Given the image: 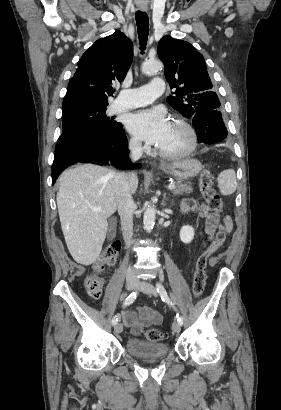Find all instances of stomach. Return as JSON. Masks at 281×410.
<instances>
[{
	"label": "stomach",
	"mask_w": 281,
	"mask_h": 410,
	"mask_svg": "<svg viewBox=\"0 0 281 410\" xmlns=\"http://www.w3.org/2000/svg\"><path fill=\"white\" fill-rule=\"evenodd\" d=\"M161 169L178 179L189 180L201 171L202 165L196 159L187 158L164 164Z\"/></svg>",
	"instance_id": "stomach-1"
}]
</instances>
